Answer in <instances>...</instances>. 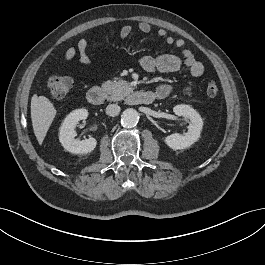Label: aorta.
<instances>
[{"label": "aorta", "mask_w": 265, "mask_h": 265, "mask_svg": "<svg viewBox=\"0 0 265 265\" xmlns=\"http://www.w3.org/2000/svg\"><path fill=\"white\" fill-rule=\"evenodd\" d=\"M139 114L135 109H126L122 114V124L126 127H133L137 124Z\"/></svg>", "instance_id": "obj_1"}]
</instances>
